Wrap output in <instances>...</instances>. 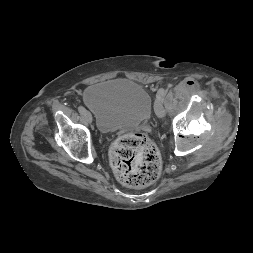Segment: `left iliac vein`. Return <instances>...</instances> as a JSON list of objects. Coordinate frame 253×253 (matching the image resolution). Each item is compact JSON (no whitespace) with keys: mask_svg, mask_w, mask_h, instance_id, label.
I'll return each mask as SVG.
<instances>
[{"mask_svg":"<svg viewBox=\"0 0 253 253\" xmlns=\"http://www.w3.org/2000/svg\"><path fill=\"white\" fill-rule=\"evenodd\" d=\"M154 111L157 117L162 118L165 115L163 103L160 99H157L154 105Z\"/></svg>","mask_w":253,"mask_h":253,"instance_id":"1","label":"left iliac vein"}]
</instances>
